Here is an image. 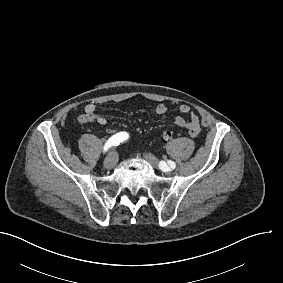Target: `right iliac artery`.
<instances>
[{"label": "right iliac artery", "instance_id": "right-iliac-artery-1", "mask_svg": "<svg viewBox=\"0 0 283 283\" xmlns=\"http://www.w3.org/2000/svg\"><path fill=\"white\" fill-rule=\"evenodd\" d=\"M128 138H129V134L127 132H119V133L113 135L105 143L104 152L107 151L110 147L118 146L120 143L124 142Z\"/></svg>", "mask_w": 283, "mask_h": 283}]
</instances>
